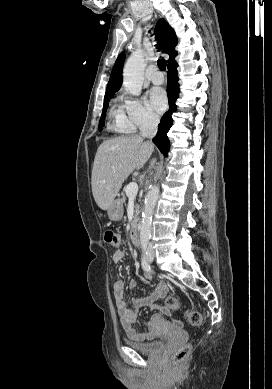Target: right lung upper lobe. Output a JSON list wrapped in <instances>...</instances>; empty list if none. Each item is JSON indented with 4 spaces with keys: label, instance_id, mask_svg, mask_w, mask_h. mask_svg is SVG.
Returning <instances> with one entry per match:
<instances>
[{
    "label": "right lung upper lobe",
    "instance_id": "obj_1",
    "mask_svg": "<svg viewBox=\"0 0 272 389\" xmlns=\"http://www.w3.org/2000/svg\"><path fill=\"white\" fill-rule=\"evenodd\" d=\"M155 35L158 40V44L161 46V49L164 53L170 54V59L168 60V65L173 63L177 52L175 51V46L177 45V37L174 30L169 26V24L164 20L160 19L155 27ZM125 60V54L121 53L113 67L105 96L114 94L119 90L122 85V69L123 63Z\"/></svg>",
    "mask_w": 272,
    "mask_h": 389
}]
</instances>
